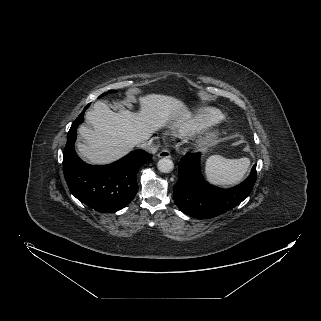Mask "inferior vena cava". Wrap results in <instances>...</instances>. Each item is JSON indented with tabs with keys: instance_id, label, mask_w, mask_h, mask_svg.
I'll use <instances>...</instances> for the list:
<instances>
[{
	"instance_id": "obj_1",
	"label": "inferior vena cava",
	"mask_w": 321,
	"mask_h": 321,
	"mask_svg": "<svg viewBox=\"0 0 321 321\" xmlns=\"http://www.w3.org/2000/svg\"><path fill=\"white\" fill-rule=\"evenodd\" d=\"M140 148L155 154L158 150V145L154 144V139H150L149 141L143 142L142 144L139 145Z\"/></svg>"
}]
</instances>
